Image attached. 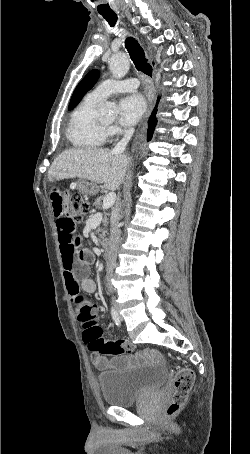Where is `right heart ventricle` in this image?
<instances>
[{"mask_svg":"<svg viewBox=\"0 0 250 454\" xmlns=\"http://www.w3.org/2000/svg\"><path fill=\"white\" fill-rule=\"evenodd\" d=\"M99 102L88 95L71 113L66 135L74 148L93 149L105 143L108 131L99 122Z\"/></svg>","mask_w":250,"mask_h":454,"instance_id":"e07e8e85","label":"right heart ventricle"}]
</instances>
